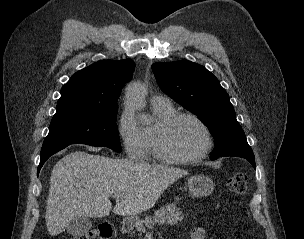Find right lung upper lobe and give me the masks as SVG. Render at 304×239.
<instances>
[{
  "mask_svg": "<svg viewBox=\"0 0 304 239\" xmlns=\"http://www.w3.org/2000/svg\"><path fill=\"white\" fill-rule=\"evenodd\" d=\"M131 59L103 60L76 72L62 87L56 112L117 105L123 85L130 81Z\"/></svg>",
  "mask_w": 304,
  "mask_h": 239,
  "instance_id": "cb5924a9",
  "label": "right lung upper lobe"
}]
</instances>
